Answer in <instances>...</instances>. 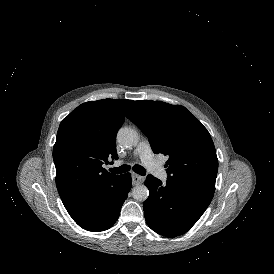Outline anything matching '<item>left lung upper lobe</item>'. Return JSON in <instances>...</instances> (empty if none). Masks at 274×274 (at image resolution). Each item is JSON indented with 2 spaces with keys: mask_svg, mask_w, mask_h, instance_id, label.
<instances>
[{
  "mask_svg": "<svg viewBox=\"0 0 274 274\" xmlns=\"http://www.w3.org/2000/svg\"><path fill=\"white\" fill-rule=\"evenodd\" d=\"M126 116L168 157V180L214 193L218 159L207 129L181 105L133 102Z\"/></svg>",
  "mask_w": 274,
  "mask_h": 274,
  "instance_id": "5c2ea615",
  "label": "left lung upper lobe"
}]
</instances>
